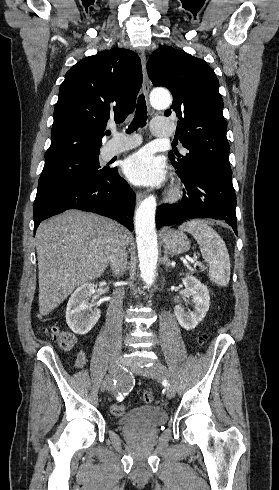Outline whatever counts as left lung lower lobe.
<instances>
[{
    "mask_svg": "<svg viewBox=\"0 0 279 490\" xmlns=\"http://www.w3.org/2000/svg\"><path fill=\"white\" fill-rule=\"evenodd\" d=\"M177 174L185 185V194L178 204L158 208L157 229L188 219L212 218L226 221L238 235L232 174L209 166Z\"/></svg>",
    "mask_w": 279,
    "mask_h": 490,
    "instance_id": "obj_1",
    "label": "left lung lower lobe"
}]
</instances>
